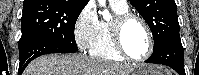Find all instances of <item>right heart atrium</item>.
<instances>
[{
  "mask_svg": "<svg viewBox=\"0 0 199 75\" xmlns=\"http://www.w3.org/2000/svg\"><path fill=\"white\" fill-rule=\"evenodd\" d=\"M99 27L96 11L91 6H86L74 24V36L79 49H90L98 36Z\"/></svg>",
  "mask_w": 199,
  "mask_h": 75,
  "instance_id": "d8ad5b80",
  "label": "right heart atrium"
}]
</instances>
